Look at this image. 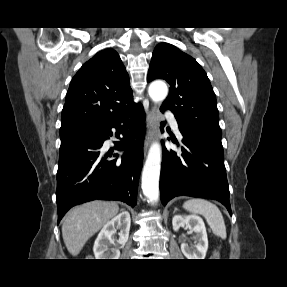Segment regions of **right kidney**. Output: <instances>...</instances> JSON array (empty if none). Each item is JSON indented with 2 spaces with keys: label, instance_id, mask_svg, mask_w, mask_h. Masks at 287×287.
<instances>
[{
  "label": "right kidney",
  "instance_id": "ca27d5eb",
  "mask_svg": "<svg viewBox=\"0 0 287 287\" xmlns=\"http://www.w3.org/2000/svg\"><path fill=\"white\" fill-rule=\"evenodd\" d=\"M130 224V214L127 211L121 212L105 224L94 243L93 252L95 258L119 259L120 251L118 249H110L109 246L113 241V236L117 229L120 230L118 233L119 239L117 240V243L124 245L128 241Z\"/></svg>",
  "mask_w": 287,
  "mask_h": 287
}]
</instances>
